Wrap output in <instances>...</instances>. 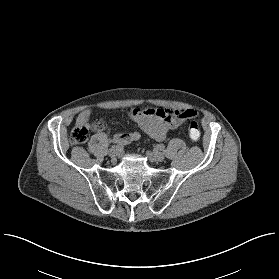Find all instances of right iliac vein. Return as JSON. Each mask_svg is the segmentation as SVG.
Masks as SVG:
<instances>
[{
    "label": "right iliac vein",
    "mask_w": 279,
    "mask_h": 279,
    "mask_svg": "<svg viewBox=\"0 0 279 279\" xmlns=\"http://www.w3.org/2000/svg\"><path fill=\"white\" fill-rule=\"evenodd\" d=\"M108 155L112 158H115L117 155V149L114 147L110 148L108 151Z\"/></svg>",
    "instance_id": "63e3f726"
}]
</instances>
